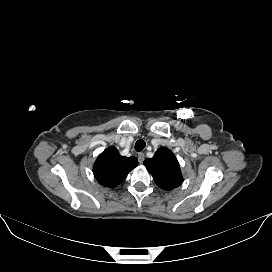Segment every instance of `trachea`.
<instances>
[{
  "mask_svg": "<svg viewBox=\"0 0 272 272\" xmlns=\"http://www.w3.org/2000/svg\"><path fill=\"white\" fill-rule=\"evenodd\" d=\"M146 146V143L144 140H138L135 144V149L137 151H142Z\"/></svg>",
  "mask_w": 272,
  "mask_h": 272,
  "instance_id": "3493384b",
  "label": "trachea"
}]
</instances>
